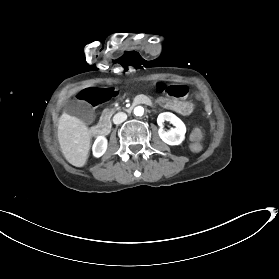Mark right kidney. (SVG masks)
<instances>
[{
    "label": "right kidney",
    "mask_w": 279,
    "mask_h": 279,
    "mask_svg": "<svg viewBox=\"0 0 279 279\" xmlns=\"http://www.w3.org/2000/svg\"><path fill=\"white\" fill-rule=\"evenodd\" d=\"M108 140L105 136H97L92 145V155L94 158H101L107 150Z\"/></svg>",
    "instance_id": "ca27d5eb"
}]
</instances>
